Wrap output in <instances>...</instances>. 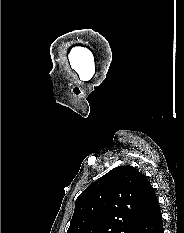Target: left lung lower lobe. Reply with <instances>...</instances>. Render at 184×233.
Wrapping results in <instances>:
<instances>
[{
	"mask_svg": "<svg viewBox=\"0 0 184 233\" xmlns=\"http://www.w3.org/2000/svg\"><path fill=\"white\" fill-rule=\"evenodd\" d=\"M133 233H164L160 206L155 193Z\"/></svg>",
	"mask_w": 184,
	"mask_h": 233,
	"instance_id": "obj_1",
	"label": "left lung lower lobe"
}]
</instances>
